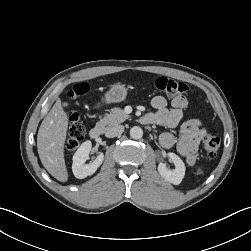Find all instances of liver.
I'll return each mask as SVG.
<instances>
[{
  "instance_id": "liver-1",
  "label": "liver",
  "mask_w": 251,
  "mask_h": 251,
  "mask_svg": "<svg viewBox=\"0 0 251 251\" xmlns=\"http://www.w3.org/2000/svg\"><path fill=\"white\" fill-rule=\"evenodd\" d=\"M68 129V116L58 98L43 119L37 134V149L41 163L58 181L66 182L68 173L64 158V144Z\"/></svg>"
}]
</instances>
